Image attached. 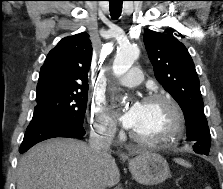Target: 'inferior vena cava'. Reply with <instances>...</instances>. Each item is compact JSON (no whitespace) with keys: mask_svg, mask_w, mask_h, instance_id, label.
<instances>
[{"mask_svg":"<svg viewBox=\"0 0 223 189\" xmlns=\"http://www.w3.org/2000/svg\"><path fill=\"white\" fill-rule=\"evenodd\" d=\"M114 134V128L96 125L90 132L89 147L98 155H106L110 149Z\"/></svg>","mask_w":223,"mask_h":189,"instance_id":"obj_1","label":"inferior vena cava"}]
</instances>
